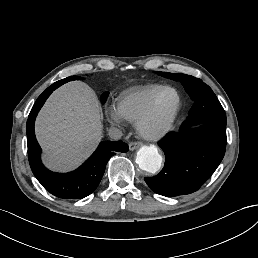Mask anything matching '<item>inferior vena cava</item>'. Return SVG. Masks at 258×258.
Wrapping results in <instances>:
<instances>
[{"mask_svg": "<svg viewBox=\"0 0 258 258\" xmlns=\"http://www.w3.org/2000/svg\"><path fill=\"white\" fill-rule=\"evenodd\" d=\"M108 133L110 138L114 140H118L122 137V131L115 127L110 128Z\"/></svg>", "mask_w": 258, "mask_h": 258, "instance_id": "602c4592", "label": "inferior vena cava"}]
</instances>
